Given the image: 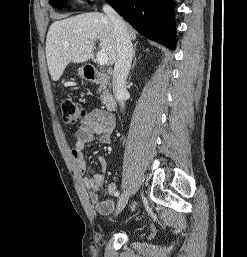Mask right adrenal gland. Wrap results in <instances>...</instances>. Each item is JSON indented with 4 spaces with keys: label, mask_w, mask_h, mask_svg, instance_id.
<instances>
[{
    "label": "right adrenal gland",
    "mask_w": 247,
    "mask_h": 257,
    "mask_svg": "<svg viewBox=\"0 0 247 257\" xmlns=\"http://www.w3.org/2000/svg\"><path fill=\"white\" fill-rule=\"evenodd\" d=\"M137 44H138V43H135L134 49H133V63H132L131 69H133V68L135 67V64H136L135 52H136Z\"/></svg>",
    "instance_id": "1"
}]
</instances>
